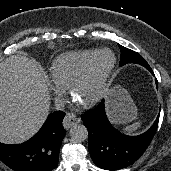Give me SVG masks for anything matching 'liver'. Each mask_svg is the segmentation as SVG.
Returning a JSON list of instances; mask_svg holds the SVG:
<instances>
[{"instance_id": "liver-1", "label": "liver", "mask_w": 171, "mask_h": 171, "mask_svg": "<svg viewBox=\"0 0 171 171\" xmlns=\"http://www.w3.org/2000/svg\"><path fill=\"white\" fill-rule=\"evenodd\" d=\"M47 78L35 62L12 55L0 63V142L31 138L49 114Z\"/></svg>"}]
</instances>
